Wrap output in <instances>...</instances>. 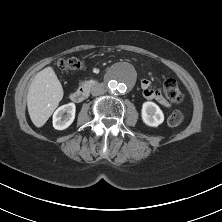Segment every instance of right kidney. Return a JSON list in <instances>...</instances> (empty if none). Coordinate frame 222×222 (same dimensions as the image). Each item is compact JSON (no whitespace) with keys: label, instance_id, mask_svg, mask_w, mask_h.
Segmentation results:
<instances>
[{"label":"right kidney","instance_id":"ca27d5eb","mask_svg":"<svg viewBox=\"0 0 222 222\" xmlns=\"http://www.w3.org/2000/svg\"><path fill=\"white\" fill-rule=\"evenodd\" d=\"M76 106L68 103L59 107L53 114V127L57 130L68 128L75 119Z\"/></svg>","mask_w":222,"mask_h":222}]
</instances>
